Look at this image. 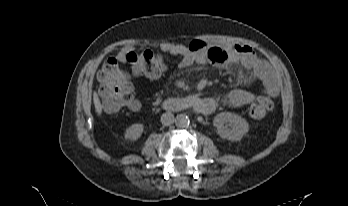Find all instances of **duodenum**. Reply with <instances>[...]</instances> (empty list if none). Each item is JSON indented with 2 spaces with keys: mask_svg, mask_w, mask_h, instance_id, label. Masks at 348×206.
<instances>
[{
  "mask_svg": "<svg viewBox=\"0 0 348 206\" xmlns=\"http://www.w3.org/2000/svg\"><path fill=\"white\" fill-rule=\"evenodd\" d=\"M166 110L191 109L198 114H206L213 109V102L196 94L181 99H171L164 103Z\"/></svg>",
  "mask_w": 348,
  "mask_h": 206,
  "instance_id": "obj_1",
  "label": "duodenum"
}]
</instances>
